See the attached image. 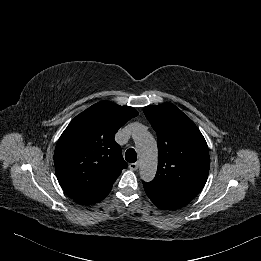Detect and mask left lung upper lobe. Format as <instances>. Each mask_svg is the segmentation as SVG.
<instances>
[{
    "instance_id": "left-lung-upper-lobe-1",
    "label": "left lung upper lobe",
    "mask_w": 261,
    "mask_h": 261,
    "mask_svg": "<svg viewBox=\"0 0 261 261\" xmlns=\"http://www.w3.org/2000/svg\"><path fill=\"white\" fill-rule=\"evenodd\" d=\"M143 111L157 134L158 143V168L150 183L198 195L210 168L203 135L194 122L171 103L146 106Z\"/></svg>"
}]
</instances>
